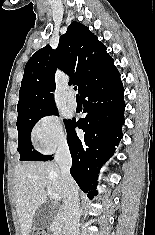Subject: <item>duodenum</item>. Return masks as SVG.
<instances>
[{"label":"duodenum","instance_id":"410a0bca","mask_svg":"<svg viewBox=\"0 0 155 235\" xmlns=\"http://www.w3.org/2000/svg\"><path fill=\"white\" fill-rule=\"evenodd\" d=\"M61 215H62V214H61V213H59V214H58V217H61ZM53 235H59V234H58V232H57V231H55V232L53 233Z\"/></svg>","mask_w":155,"mask_h":235}]
</instances>
